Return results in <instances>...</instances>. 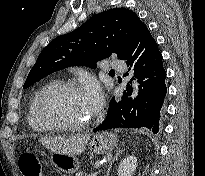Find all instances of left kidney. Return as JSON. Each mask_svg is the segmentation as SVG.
Listing matches in <instances>:
<instances>
[{
  "instance_id": "obj_1",
  "label": "left kidney",
  "mask_w": 205,
  "mask_h": 176,
  "mask_svg": "<svg viewBox=\"0 0 205 176\" xmlns=\"http://www.w3.org/2000/svg\"><path fill=\"white\" fill-rule=\"evenodd\" d=\"M137 167V158L133 155L125 157L119 164L118 176H132Z\"/></svg>"
}]
</instances>
